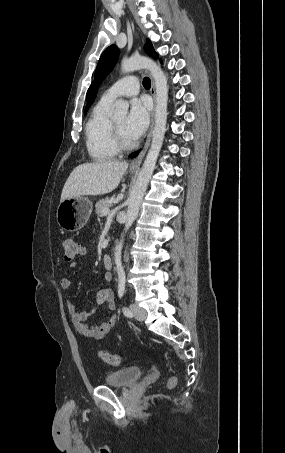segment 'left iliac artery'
<instances>
[{"mask_svg": "<svg viewBox=\"0 0 285 453\" xmlns=\"http://www.w3.org/2000/svg\"><path fill=\"white\" fill-rule=\"evenodd\" d=\"M118 277H119V283H118V297L121 299L123 296H124V293H125V273L124 272H119L118 273ZM123 313L126 317H132L133 316V313L132 311L127 308V307H123Z\"/></svg>", "mask_w": 285, "mask_h": 453, "instance_id": "left-iliac-artery-1", "label": "left iliac artery"}]
</instances>
